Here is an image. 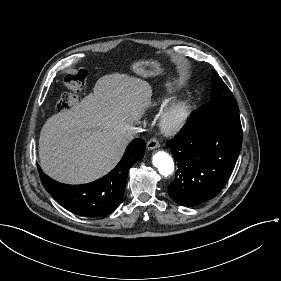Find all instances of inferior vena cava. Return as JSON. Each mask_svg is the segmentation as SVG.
I'll return each mask as SVG.
<instances>
[{
    "label": "inferior vena cava",
    "instance_id": "1",
    "mask_svg": "<svg viewBox=\"0 0 281 281\" xmlns=\"http://www.w3.org/2000/svg\"><path fill=\"white\" fill-rule=\"evenodd\" d=\"M137 135H138V131L132 130L131 132H129L127 134L126 140L131 142L135 138V136H137Z\"/></svg>",
    "mask_w": 281,
    "mask_h": 281
}]
</instances>
